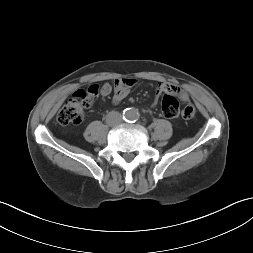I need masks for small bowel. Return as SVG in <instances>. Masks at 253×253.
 Here are the masks:
<instances>
[{
  "instance_id": "small-bowel-1",
  "label": "small bowel",
  "mask_w": 253,
  "mask_h": 253,
  "mask_svg": "<svg viewBox=\"0 0 253 253\" xmlns=\"http://www.w3.org/2000/svg\"><path fill=\"white\" fill-rule=\"evenodd\" d=\"M136 83H137V80L135 78L128 77V78L116 79L114 82V87H113V91H114L113 98H112L113 103L118 104L122 102L129 94L130 88H132ZM90 88H96L98 90V93H100L102 96H107L112 91V86L108 83H105L100 88H98L95 85L91 86ZM163 93L175 94L179 97V99L182 102L186 103V104H183L179 110L180 116L183 119L189 120L195 116L196 110L192 104H189L190 97L188 93L184 89L178 88L169 82H160L158 84V87L155 91L154 99L152 102L153 106H155L158 103V99L160 95Z\"/></svg>"
}]
</instances>
